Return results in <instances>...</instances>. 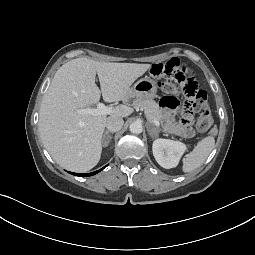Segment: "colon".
<instances>
[{"label": "colon", "mask_w": 255, "mask_h": 255, "mask_svg": "<svg viewBox=\"0 0 255 255\" xmlns=\"http://www.w3.org/2000/svg\"><path fill=\"white\" fill-rule=\"evenodd\" d=\"M151 75L155 79H164L162 90L168 94L181 91L184 96L183 115L199 112L196 128L206 132L213 125V117L208 107L207 93L199 89L194 72L177 58H172L165 63H157L151 67ZM171 97V96H167ZM211 135L216 134L211 129Z\"/></svg>", "instance_id": "5ec220e1"}]
</instances>
